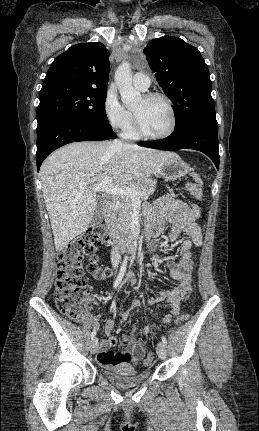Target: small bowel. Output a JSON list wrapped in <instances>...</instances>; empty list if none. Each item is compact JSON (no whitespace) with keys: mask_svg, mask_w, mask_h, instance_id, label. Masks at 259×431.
I'll use <instances>...</instances> for the list:
<instances>
[{"mask_svg":"<svg viewBox=\"0 0 259 431\" xmlns=\"http://www.w3.org/2000/svg\"><path fill=\"white\" fill-rule=\"evenodd\" d=\"M188 204L175 199L170 195L160 197L149 211L144 222L146 238L156 237L162 231L166 222L173 224L169 235V241L175 243L180 234H188V238L180 243L179 261L169 262L170 277L176 281V285L167 290H162L148 301L149 306L156 303L167 302L170 306V314L166 315L163 323H170L180 312L179 305L186 301L192 292V271L194 257L191 251L193 246L202 244L201 226L197 220L192 219ZM200 214V213H199ZM94 302V300H91ZM114 322L108 320L105 324V334L107 338L102 340L99 345L97 361L104 367L129 366L141 360L145 352V343L148 334L152 330L151 326L139 328V323L133 325V332H140L141 336L136 339L132 335H124L122 340L127 344L124 351L114 352L113 348L117 344L114 336Z\"/></svg>","mask_w":259,"mask_h":431,"instance_id":"small-bowel-1","label":"small bowel"}]
</instances>
